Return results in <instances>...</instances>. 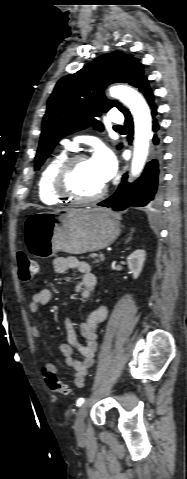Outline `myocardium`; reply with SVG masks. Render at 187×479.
Here are the masks:
<instances>
[{
	"label": "myocardium",
	"instance_id": "obj_1",
	"mask_svg": "<svg viewBox=\"0 0 187 479\" xmlns=\"http://www.w3.org/2000/svg\"><path fill=\"white\" fill-rule=\"evenodd\" d=\"M87 159H90L88 155L76 153L68 156L61 163L55 173L53 181L54 190L60 197L74 203L88 204L98 201L106 194V184L97 193L88 197L80 196L72 189L70 184L72 173L79 162Z\"/></svg>",
	"mask_w": 187,
	"mask_h": 479
}]
</instances>
